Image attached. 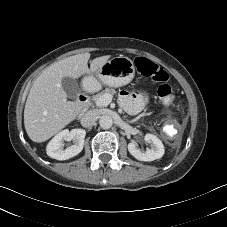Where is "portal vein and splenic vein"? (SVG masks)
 I'll list each match as a JSON object with an SVG mask.
<instances>
[{
    "label": "portal vein and splenic vein",
    "mask_w": 227,
    "mask_h": 227,
    "mask_svg": "<svg viewBox=\"0 0 227 227\" xmlns=\"http://www.w3.org/2000/svg\"><path fill=\"white\" fill-rule=\"evenodd\" d=\"M113 96L111 94H105L96 101L98 106H108L112 102Z\"/></svg>",
    "instance_id": "obj_1"
}]
</instances>
